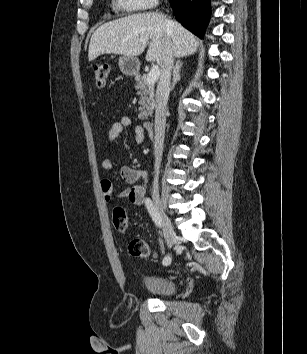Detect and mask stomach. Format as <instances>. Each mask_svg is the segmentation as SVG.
Here are the masks:
<instances>
[{
  "instance_id": "obj_1",
  "label": "stomach",
  "mask_w": 307,
  "mask_h": 354,
  "mask_svg": "<svg viewBox=\"0 0 307 354\" xmlns=\"http://www.w3.org/2000/svg\"><path fill=\"white\" fill-rule=\"evenodd\" d=\"M118 65L121 72L127 76L137 75L140 69V62L136 57L121 56Z\"/></svg>"
}]
</instances>
